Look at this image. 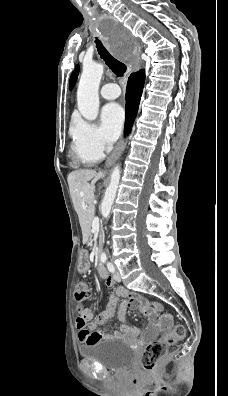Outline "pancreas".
<instances>
[{"instance_id":"1","label":"pancreas","mask_w":228,"mask_h":396,"mask_svg":"<svg viewBox=\"0 0 228 396\" xmlns=\"http://www.w3.org/2000/svg\"><path fill=\"white\" fill-rule=\"evenodd\" d=\"M94 215V214H93ZM93 219H94V217L92 216V218H91V221H90V223L93 221ZM91 236V235H90ZM90 241L92 240L90 237L88 238ZM87 241L88 243L90 242V241Z\"/></svg>"}]
</instances>
